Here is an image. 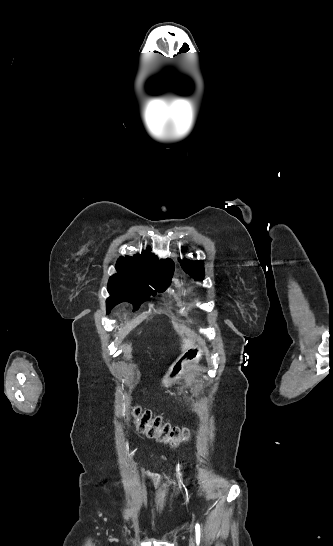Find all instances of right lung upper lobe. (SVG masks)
<instances>
[{
    "label": "right lung upper lobe",
    "instance_id": "obj_1",
    "mask_svg": "<svg viewBox=\"0 0 333 546\" xmlns=\"http://www.w3.org/2000/svg\"><path fill=\"white\" fill-rule=\"evenodd\" d=\"M149 250H151L149 248ZM159 263L173 264L171 259L157 261L154 254L143 251L142 254H137L134 257H120L117 265L123 268L124 271L133 275L151 277L153 281L165 283V280L156 279L157 265Z\"/></svg>",
    "mask_w": 333,
    "mask_h": 546
}]
</instances>
